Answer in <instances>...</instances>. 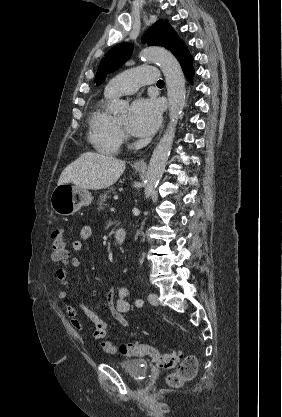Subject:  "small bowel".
I'll use <instances>...</instances> for the list:
<instances>
[{
	"label": "small bowel",
	"instance_id": "obj_1",
	"mask_svg": "<svg viewBox=\"0 0 282 417\" xmlns=\"http://www.w3.org/2000/svg\"><path fill=\"white\" fill-rule=\"evenodd\" d=\"M78 240L73 242L72 249L74 252H81L83 249V242L93 241L94 233L93 227L89 224L84 225L80 228L78 232ZM80 259L73 257L69 266L73 269L80 267ZM56 277L61 284V289L58 291L57 296L60 299H66L71 293V287L68 279L67 269L60 267L56 270ZM129 290L124 286H112L107 293V301L109 304L113 305V316L115 321L122 326H128L127 314L130 310V304L128 302ZM81 311L84 313L86 318L93 326V338L96 340H103L109 337L112 333V324L111 322L102 319L89 307L83 303L78 304ZM65 311L69 318L71 326L78 332L83 330V323L78 317L77 308L71 304L65 305Z\"/></svg>",
	"mask_w": 282,
	"mask_h": 417
}]
</instances>
